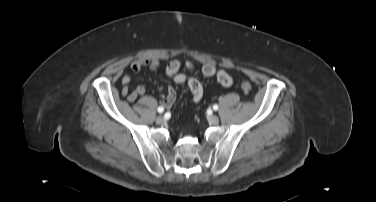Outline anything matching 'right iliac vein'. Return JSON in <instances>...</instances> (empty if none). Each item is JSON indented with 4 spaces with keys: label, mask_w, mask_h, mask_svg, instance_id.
<instances>
[{
    "label": "right iliac vein",
    "mask_w": 376,
    "mask_h": 202,
    "mask_svg": "<svg viewBox=\"0 0 376 202\" xmlns=\"http://www.w3.org/2000/svg\"><path fill=\"white\" fill-rule=\"evenodd\" d=\"M164 121H165V119H164L163 116H158V117L156 118V123H158V124H162Z\"/></svg>",
    "instance_id": "right-iliac-vein-1"
}]
</instances>
